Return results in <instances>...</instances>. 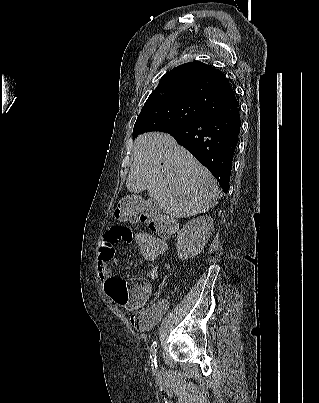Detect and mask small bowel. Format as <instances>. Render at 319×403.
Instances as JSON below:
<instances>
[{
    "label": "small bowel",
    "instance_id": "obj_1",
    "mask_svg": "<svg viewBox=\"0 0 319 403\" xmlns=\"http://www.w3.org/2000/svg\"><path fill=\"white\" fill-rule=\"evenodd\" d=\"M131 238H134V229H130L128 224H109L107 229H102L96 267L108 300L112 301L113 309H120V315L127 319L128 328L134 329L136 335H147L149 329L166 313L169 303L161 300L144 308L152 294V285H148V282L156 280L159 273V266L155 263L157 258H144L151 267L147 279L113 276L109 263L122 246L131 245Z\"/></svg>",
    "mask_w": 319,
    "mask_h": 403
}]
</instances>
